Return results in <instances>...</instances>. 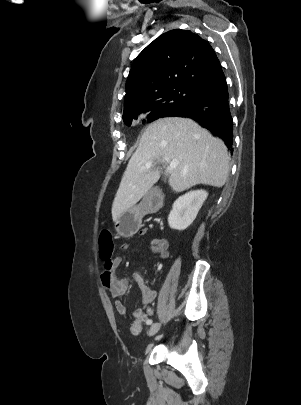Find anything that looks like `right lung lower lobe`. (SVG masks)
Listing matches in <instances>:
<instances>
[{
    "label": "right lung lower lobe",
    "mask_w": 301,
    "mask_h": 405,
    "mask_svg": "<svg viewBox=\"0 0 301 405\" xmlns=\"http://www.w3.org/2000/svg\"><path fill=\"white\" fill-rule=\"evenodd\" d=\"M227 83L224 79L208 89L191 104L174 110L168 116L188 117L221 138L233 151V119L229 106Z\"/></svg>",
    "instance_id": "1"
}]
</instances>
